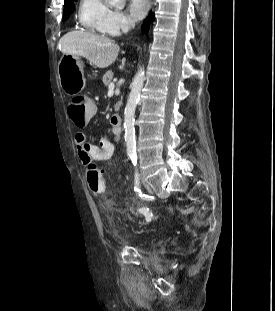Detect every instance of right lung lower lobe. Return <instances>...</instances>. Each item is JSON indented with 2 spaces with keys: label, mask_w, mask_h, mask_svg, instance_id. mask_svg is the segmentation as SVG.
Wrapping results in <instances>:
<instances>
[{
  "label": "right lung lower lobe",
  "mask_w": 275,
  "mask_h": 311,
  "mask_svg": "<svg viewBox=\"0 0 275 311\" xmlns=\"http://www.w3.org/2000/svg\"><path fill=\"white\" fill-rule=\"evenodd\" d=\"M151 22V14L145 19L143 25H142V30L143 32H147L149 29V25Z\"/></svg>",
  "instance_id": "obj_1"
}]
</instances>
